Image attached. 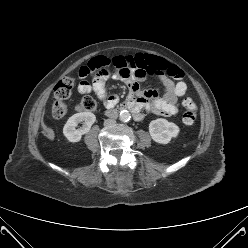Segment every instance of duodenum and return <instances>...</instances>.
<instances>
[{
	"label": "duodenum",
	"instance_id": "410a0bca",
	"mask_svg": "<svg viewBox=\"0 0 248 248\" xmlns=\"http://www.w3.org/2000/svg\"><path fill=\"white\" fill-rule=\"evenodd\" d=\"M123 110H130V111L133 112L134 109H133V106H132V102L126 100V101H125L119 108H117V109H111V108L107 109L106 114H107L108 116H111V117H116V116H118V114H119L121 111H123Z\"/></svg>",
	"mask_w": 248,
	"mask_h": 248
}]
</instances>
